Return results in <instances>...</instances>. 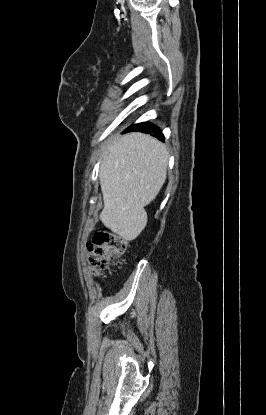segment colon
<instances>
[{"mask_svg":"<svg viewBox=\"0 0 266 415\" xmlns=\"http://www.w3.org/2000/svg\"><path fill=\"white\" fill-rule=\"evenodd\" d=\"M127 241L107 231H98L87 244L90 269L98 275L104 271L113 258H119L126 252Z\"/></svg>","mask_w":266,"mask_h":415,"instance_id":"colon-1","label":"colon"}]
</instances>
